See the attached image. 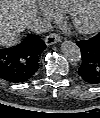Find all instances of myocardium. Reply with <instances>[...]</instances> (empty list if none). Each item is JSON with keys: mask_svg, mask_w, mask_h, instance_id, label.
I'll use <instances>...</instances> for the list:
<instances>
[{"mask_svg": "<svg viewBox=\"0 0 100 118\" xmlns=\"http://www.w3.org/2000/svg\"><path fill=\"white\" fill-rule=\"evenodd\" d=\"M96 3V9L91 15H87L91 6ZM72 25L82 33H89L100 25V0H84L71 13Z\"/></svg>", "mask_w": 100, "mask_h": 118, "instance_id": "myocardium-1", "label": "myocardium"}]
</instances>
